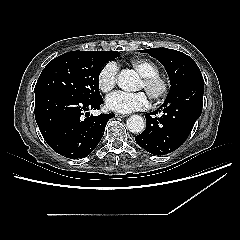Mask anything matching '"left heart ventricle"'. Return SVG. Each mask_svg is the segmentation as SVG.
Segmentation results:
<instances>
[{"label": "left heart ventricle", "instance_id": "obj_1", "mask_svg": "<svg viewBox=\"0 0 240 240\" xmlns=\"http://www.w3.org/2000/svg\"><path fill=\"white\" fill-rule=\"evenodd\" d=\"M140 88L144 89V90L147 92V94L149 95V93H148V91L145 89V87H144L142 81L140 82Z\"/></svg>", "mask_w": 240, "mask_h": 240}]
</instances>
